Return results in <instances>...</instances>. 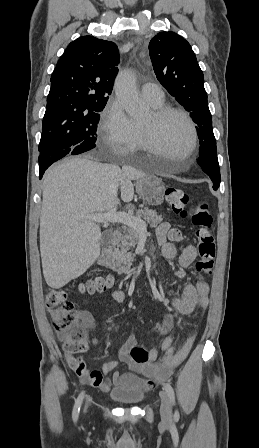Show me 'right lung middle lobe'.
Masks as SVG:
<instances>
[{"label": "right lung middle lobe", "instance_id": "obj_1", "mask_svg": "<svg viewBox=\"0 0 259 448\" xmlns=\"http://www.w3.org/2000/svg\"><path fill=\"white\" fill-rule=\"evenodd\" d=\"M103 106L67 114L45 113L39 152L71 149L72 155L93 149Z\"/></svg>", "mask_w": 259, "mask_h": 448}]
</instances>
